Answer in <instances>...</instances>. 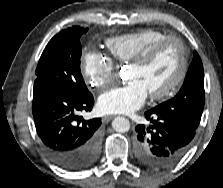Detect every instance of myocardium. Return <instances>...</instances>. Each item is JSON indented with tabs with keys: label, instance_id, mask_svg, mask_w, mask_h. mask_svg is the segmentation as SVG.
Segmentation results:
<instances>
[{
	"label": "myocardium",
	"instance_id": "f54148a6",
	"mask_svg": "<svg viewBox=\"0 0 223 188\" xmlns=\"http://www.w3.org/2000/svg\"><path fill=\"white\" fill-rule=\"evenodd\" d=\"M175 43L180 50V67L172 83L165 89L149 94L152 100H163L174 95L184 83L188 73V50L185 43L176 36H166L147 47L141 54L129 62L132 67L147 65L166 45Z\"/></svg>",
	"mask_w": 223,
	"mask_h": 188
}]
</instances>
